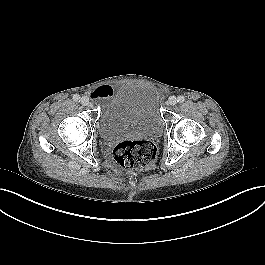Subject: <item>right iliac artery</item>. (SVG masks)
Segmentation results:
<instances>
[{"label": "right iliac artery", "instance_id": "1", "mask_svg": "<svg viewBox=\"0 0 265 265\" xmlns=\"http://www.w3.org/2000/svg\"><path fill=\"white\" fill-rule=\"evenodd\" d=\"M73 100H74L75 102H79V101H80V96L77 95V94H75V95L73 96Z\"/></svg>", "mask_w": 265, "mask_h": 265}]
</instances>
